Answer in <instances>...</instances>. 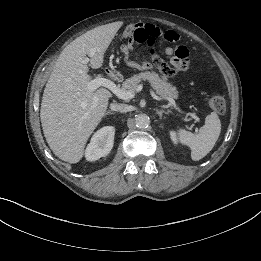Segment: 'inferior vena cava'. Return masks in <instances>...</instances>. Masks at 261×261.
<instances>
[{
	"mask_svg": "<svg viewBox=\"0 0 261 261\" xmlns=\"http://www.w3.org/2000/svg\"><path fill=\"white\" fill-rule=\"evenodd\" d=\"M111 109L121 113L128 112L129 106L126 104H111Z\"/></svg>",
	"mask_w": 261,
	"mask_h": 261,
	"instance_id": "obj_1",
	"label": "inferior vena cava"
}]
</instances>
